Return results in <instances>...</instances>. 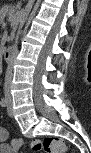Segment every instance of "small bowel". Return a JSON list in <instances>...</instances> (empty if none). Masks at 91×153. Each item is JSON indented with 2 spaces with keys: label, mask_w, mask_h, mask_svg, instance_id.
<instances>
[{
  "label": "small bowel",
  "mask_w": 91,
  "mask_h": 153,
  "mask_svg": "<svg viewBox=\"0 0 91 153\" xmlns=\"http://www.w3.org/2000/svg\"><path fill=\"white\" fill-rule=\"evenodd\" d=\"M8 138V132L5 129H0V151L3 153H13L16 152L15 142L13 140L11 144H7L4 141Z\"/></svg>",
  "instance_id": "1"
}]
</instances>
